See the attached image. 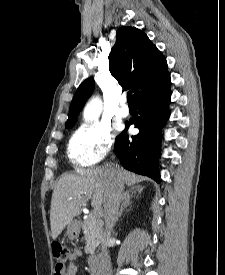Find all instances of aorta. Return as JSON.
<instances>
[{"label": "aorta", "instance_id": "aorta-1", "mask_svg": "<svg viewBox=\"0 0 225 275\" xmlns=\"http://www.w3.org/2000/svg\"><path fill=\"white\" fill-rule=\"evenodd\" d=\"M102 102L99 98H93L84 109V120L89 122L96 120L101 112Z\"/></svg>", "mask_w": 225, "mask_h": 275}]
</instances>
